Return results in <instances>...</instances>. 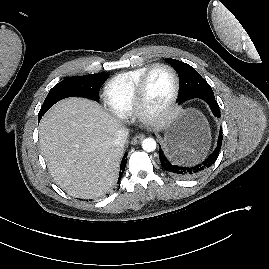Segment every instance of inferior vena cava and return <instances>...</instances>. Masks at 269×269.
Instances as JSON below:
<instances>
[{
	"label": "inferior vena cava",
	"mask_w": 269,
	"mask_h": 269,
	"mask_svg": "<svg viewBox=\"0 0 269 269\" xmlns=\"http://www.w3.org/2000/svg\"><path fill=\"white\" fill-rule=\"evenodd\" d=\"M128 133H129L128 132V129H126V128H120L116 132V134H115V136H114V138L112 140V144L114 146L123 147L124 144L126 143V140H127V137H128Z\"/></svg>",
	"instance_id": "602c4592"
}]
</instances>
